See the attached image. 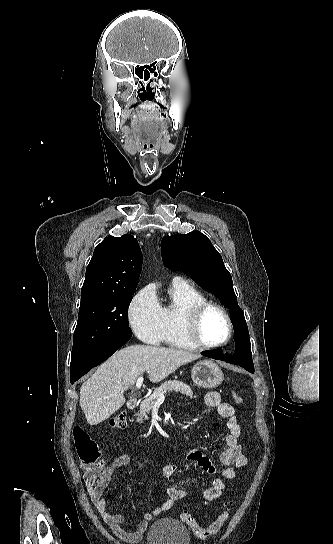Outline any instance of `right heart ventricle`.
I'll return each instance as SVG.
<instances>
[{
  "instance_id": "obj_1",
  "label": "right heart ventricle",
  "mask_w": 333,
  "mask_h": 544,
  "mask_svg": "<svg viewBox=\"0 0 333 544\" xmlns=\"http://www.w3.org/2000/svg\"><path fill=\"white\" fill-rule=\"evenodd\" d=\"M171 301L162 306L165 332L163 341L173 347L197 348L188 338L185 330V315L195 304L205 300L204 294L188 283L172 284L169 289Z\"/></svg>"
}]
</instances>
